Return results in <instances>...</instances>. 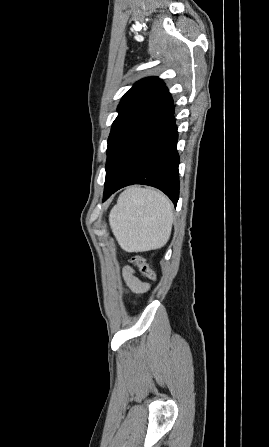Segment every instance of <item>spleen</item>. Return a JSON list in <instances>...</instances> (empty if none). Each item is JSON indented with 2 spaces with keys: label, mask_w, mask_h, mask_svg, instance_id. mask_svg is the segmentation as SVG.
Listing matches in <instances>:
<instances>
[{
  "label": "spleen",
  "mask_w": 269,
  "mask_h": 447,
  "mask_svg": "<svg viewBox=\"0 0 269 447\" xmlns=\"http://www.w3.org/2000/svg\"><path fill=\"white\" fill-rule=\"evenodd\" d=\"M173 206L153 188L129 186L109 214V224L122 249L149 251L167 243L173 224Z\"/></svg>",
  "instance_id": "3e777b00"
}]
</instances>
